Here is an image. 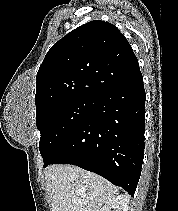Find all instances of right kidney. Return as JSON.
<instances>
[{
    "mask_svg": "<svg viewBox=\"0 0 178 211\" xmlns=\"http://www.w3.org/2000/svg\"><path fill=\"white\" fill-rule=\"evenodd\" d=\"M129 196L126 194L117 195L113 199L109 200L100 211H128Z\"/></svg>",
    "mask_w": 178,
    "mask_h": 211,
    "instance_id": "ca27d5eb",
    "label": "right kidney"
}]
</instances>
